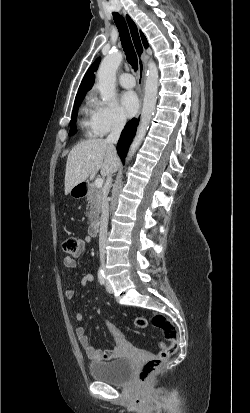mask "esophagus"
Here are the masks:
<instances>
[{
	"label": "esophagus",
	"mask_w": 250,
	"mask_h": 413,
	"mask_svg": "<svg viewBox=\"0 0 250 413\" xmlns=\"http://www.w3.org/2000/svg\"><path fill=\"white\" fill-rule=\"evenodd\" d=\"M122 13H123L124 19L126 21V24H127L128 30H129V34H130V37H131V41H132V44L134 46V49H135V52H136V55H137L138 67H139L138 84H139V87H140L141 91H143L144 83H145V79H146V69H147L145 61H144L145 48H144V45L142 43L140 33H139V28H138L136 22L134 21L132 16L127 11H125L124 9L122 10Z\"/></svg>",
	"instance_id": "obj_1"
}]
</instances>
